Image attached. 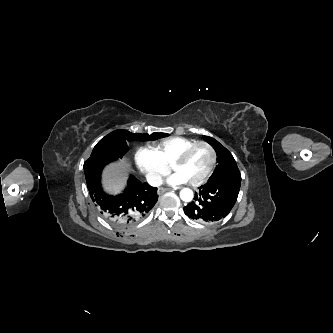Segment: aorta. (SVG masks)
Masks as SVG:
<instances>
[{
    "mask_svg": "<svg viewBox=\"0 0 333 333\" xmlns=\"http://www.w3.org/2000/svg\"><path fill=\"white\" fill-rule=\"evenodd\" d=\"M180 198L185 202H189L193 199V191L189 188H183L180 191Z\"/></svg>",
    "mask_w": 333,
    "mask_h": 333,
    "instance_id": "762f6f07",
    "label": "aorta"
}]
</instances>
